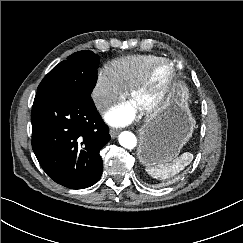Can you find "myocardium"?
I'll list each match as a JSON object with an SVG mask.
<instances>
[{"label": "myocardium", "mask_w": 243, "mask_h": 243, "mask_svg": "<svg viewBox=\"0 0 243 243\" xmlns=\"http://www.w3.org/2000/svg\"><path fill=\"white\" fill-rule=\"evenodd\" d=\"M161 65H167L170 68V74L159 96L153 102L139 109L141 113L147 117L157 115L167 104L177 80V70L175 64L167 58H158L127 90V98L131 101L138 92H140L150 83L155 70Z\"/></svg>", "instance_id": "f54148a6"}]
</instances>
